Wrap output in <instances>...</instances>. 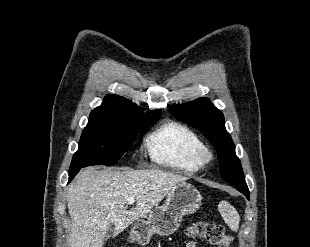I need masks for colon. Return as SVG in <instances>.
<instances>
[{"label":"colon","mask_w":310,"mask_h":247,"mask_svg":"<svg viewBox=\"0 0 310 247\" xmlns=\"http://www.w3.org/2000/svg\"><path fill=\"white\" fill-rule=\"evenodd\" d=\"M189 241L186 247H194L195 239H202L217 247H230L231 237L225 232L223 225L216 222H195L188 230Z\"/></svg>","instance_id":"colon-1"}]
</instances>
